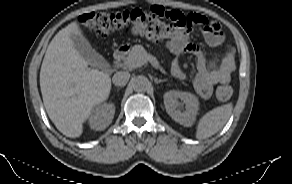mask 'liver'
I'll return each instance as SVG.
<instances>
[{
    "label": "liver",
    "mask_w": 292,
    "mask_h": 184,
    "mask_svg": "<svg viewBox=\"0 0 292 184\" xmlns=\"http://www.w3.org/2000/svg\"><path fill=\"white\" fill-rule=\"evenodd\" d=\"M82 36L77 22L60 30L50 42L40 70V88L45 109L56 128L76 138L93 108L104 102L111 90L109 74L91 69L75 49L71 35Z\"/></svg>",
    "instance_id": "obj_1"
}]
</instances>
